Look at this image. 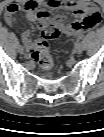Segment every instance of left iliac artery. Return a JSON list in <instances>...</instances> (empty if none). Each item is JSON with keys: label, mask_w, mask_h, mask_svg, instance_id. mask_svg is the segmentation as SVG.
I'll return each mask as SVG.
<instances>
[{"label": "left iliac artery", "mask_w": 104, "mask_h": 137, "mask_svg": "<svg viewBox=\"0 0 104 137\" xmlns=\"http://www.w3.org/2000/svg\"><path fill=\"white\" fill-rule=\"evenodd\" d=\"M83 39V36L82 35H79L78 37L75 38V41H80Z\"/></svg>", "instance_id": "44dca946"}]
</instances>
